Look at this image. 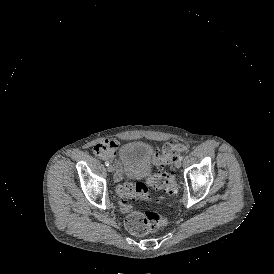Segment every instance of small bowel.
Listing matches in <instances>:
<instances>
[{
    "label": "small bowel",
    "mask_w": 274,
    "mask_h": 274,
    "mask_svg": "<svg viewBox=\"0 0 274 274\" xmlns=\"http://www.w3.org/2000/svg\"><path fill=\"white\" fill-rule=\"evenodd\" d=\"M119 149V143L116 140H103L100 142H97L92 147V152L95 156H97L100 159L107 160V161H116L117 158V151ZM117 163V176L122 177L123 170L121 166L119 165V162Z\"/></svg>",
    "instance_id": "c3829d8e"
}]
</instances>
